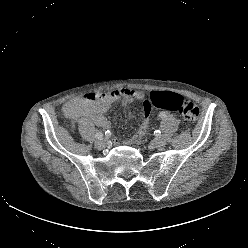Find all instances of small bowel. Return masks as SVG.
I'll return each instance as SVG.
<instances>
[{"instance_id": "small-bowel-1", "label": "small bowel", "mask_w": 248, "mask_h": 248, "mask_svg": "<svg viewBox=\"0 0 248 248\" xmlns=\"http://www.w3.org/2000/svg\"><path fill=\"white\" fill-rule=\"evenodd\" d=\"M144 97L145 94L142 91L130 88H120L102 93H87L67 102L63 107V113L67 118L74 120L80 117H88L98 126L108 129L110 122L103 115V112H105L112 103L120 101L123 105H128L134 101L142 100ZM135 141L136 136H133L126 142L132 144ZM113 142L116 145L121 143L118 138H115Z\"/></svg>"}]
</instances>
